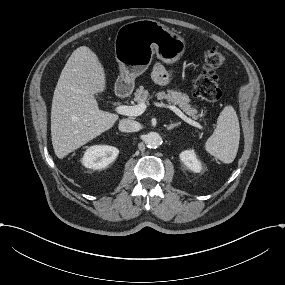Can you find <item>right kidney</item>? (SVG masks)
<instances>
[{
  "label": "right kidney",
  "instance_id": "right-kidney-1",
  "mask_svg": "<svg viewBox=\"0 0 285 285\" xmlns=\"http://www.w3.org/2000/svg\"><path fill=\"white\" fill-rule=\"evenodd\" d=\"M119 154L116 147L108 145H94L89 147L81 159L82 165L91 169H102L112 163Z\"/></svg>",
  "mask_w": 285,
  "mask_h": 285
}]
</instances>
